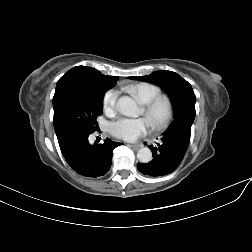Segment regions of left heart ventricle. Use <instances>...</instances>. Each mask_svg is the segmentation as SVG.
<instances>
[{
    "label": "left heart ventricle",
    "instance_id": "left-heart-ventricle-1",
    "mask_svg": "<svg viewBox=\"0 0 252 252\" xmlns=\"http://www.w3.org/2000/svg\"><path fill=\"white\" fill-rule=\"evenodd\" d=\"M163 113H164V108H163L162 106H160V107L157 109V111L155 112V114H154V117H153L154 121L160 120L161 117L163 116ZM147 120H148V119H147ZM148 122H149V120H148Z\"/></svg>",
    "mask_w": 252,
    "mask_h": 252
}]
</instances>
